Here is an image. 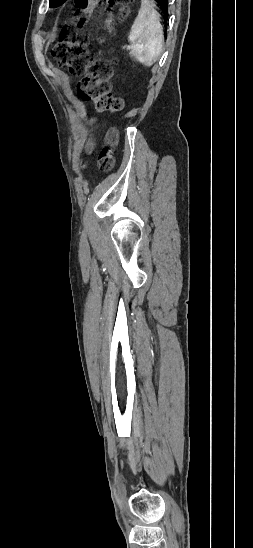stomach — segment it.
I'll return each mask as SVG.
<instances>
[{
	"mask_svg": "<svg viewBox=\"0 0 253 548\" xmlns=\"http://www.w3.org/2000/svg\"><path fill=\"white\" fill-rule=\"evenodd\" d=\"M111 22H112L111 19H109V20L106 21L108 27L110 26Z\"/></svg>",
	"mask_w": 253,
	"mask_h": 548,
	"instance_id": "obj_1",
	"label": "stomach"
}]
</instances>
